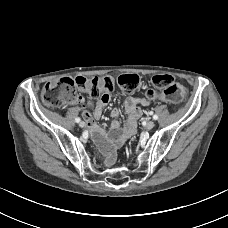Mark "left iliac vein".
<instances>
[{"label": "left iliac vein", "mask_w": 228, "mask_h": 228, "mask_svg": "<svg viewBox=\"0 0 228 228\" xmlns=\"http://www.w3.org/2000/svg\"><path fill=\"white\" fill-rule=\"evenodd\" d=\"M154 126H155L154 121H148V122L146 123V128H147V129H152Z\"/></svg>", "instance_id": "1"}]
</instances>
